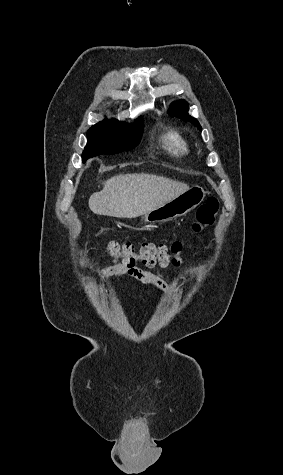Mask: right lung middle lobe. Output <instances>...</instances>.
<instances>
[{
  "label": "right lung middle lobe",
  "instance_id": "dd1d6c3e",
  "mask_svg": "<svg viewBox=\"0 0 283 475\" xmlns=\"http://www.w3.org/2000/svg\"><path fill=\"white\" fill-rule=\"evenodd\" d=\"M143 132V119L127 125L117 120H105L92 126L87 132L88 143L83 151V162L102 154H117L130 150L140 142Z\"/></svg>",
  "mask_w": 283,
  "mask_h": 475
}]
</instances>
